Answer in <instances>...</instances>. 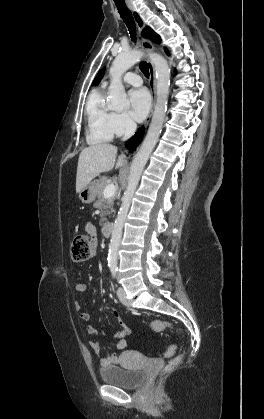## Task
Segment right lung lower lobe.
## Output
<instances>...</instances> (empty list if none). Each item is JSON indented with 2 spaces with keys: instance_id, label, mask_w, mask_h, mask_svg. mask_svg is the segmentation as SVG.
I'll list each match as a JSON object with an SVG mask.
<instances>
[{
  "instance_id": "1",
  "label": "right lung lower lobe",
  "mask_w": 264,
  "mask_h": 419,
  "mask_svg": "<svg viewBox=\"0 0 264 419\" xmlns=\"http://www.w3.org/2000/svg\"><path fill=\"white\" fill-rule=\"evenodd\" d=\"M144 130V127L138 129L135 135L126 143V147L129 149V151L133 152L134 149L141 143Z\"/></svg>"
}]
</instances>
